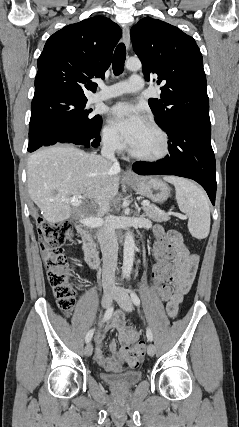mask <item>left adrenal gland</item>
Masks as SVG:
<instances>
[{
    "instance_id": "a2214340",
    "label": "left adrenal gland",
    "mask_w": 239,
    "mask_h": 427,
    "mask_svg": "<svg viewBox=\"0 0 239 427\" xmlns=\"http://www.w3.org/2000/svg\"><path fill=\"white\" fill-rule=\"evenodd\" d=\"M138 208V212L140 211V208L139 207H137Z\"/></svg>"
}]
</instances>
